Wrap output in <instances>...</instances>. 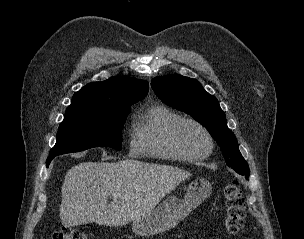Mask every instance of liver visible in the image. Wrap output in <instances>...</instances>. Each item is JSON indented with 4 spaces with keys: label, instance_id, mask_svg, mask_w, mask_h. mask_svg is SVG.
I'll return each instance as SVG.
<instances>
[{
    "label": "liver",
    "instance_id": "1",
    "mask_svg": "<svg viewBox=\"0 0 304 239\" xmlns=\"http://www.w3.org/2000/svg\"><path fill=\"white\" fill-rule=\"evenodd\" d=\"M189 177L191 173L175 166L133 159L83 162L65 175L60 219L68 227L92 222L123 226L152 211Z\"/></svg>",
    "mask_w": 304,
    "mask_h": 239
}]
</instances>
